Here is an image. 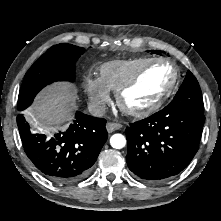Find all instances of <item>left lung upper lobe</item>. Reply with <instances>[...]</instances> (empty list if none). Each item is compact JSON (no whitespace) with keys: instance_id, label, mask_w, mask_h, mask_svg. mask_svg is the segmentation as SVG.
<instances>
[{"instance_id":"5c2ea615","label":"left lung upper lobe","mask_w":221,"mask_h":221,"mask_svg":"<svg viewBox=\"0 0 221 221\" xmlns=\"http://www.w3.org/2000/svg\"><path fill=\"white\" fill-rule=\"evenodd\" d=\"M152 52L156 53L157 51ZM176 109L193 111L204 114V104L199 83L195 76L188 71L173 101L170 102Z\"/></svg>"}]
</instances>
